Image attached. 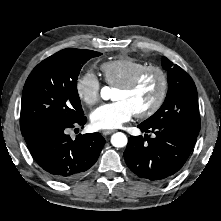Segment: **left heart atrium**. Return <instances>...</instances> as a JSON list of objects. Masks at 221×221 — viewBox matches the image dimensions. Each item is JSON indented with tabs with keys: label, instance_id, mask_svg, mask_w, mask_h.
Returning a JSON list of instances; mask_svg holds the SVG:
<instances>
[{
	"label": "left heart atrium",
	"instance_id": "1",
	"mask_svg": "<svg viewBox=\"0 0 221 221\" xmlns=\"http://www.w3.org/2000/svg\"><path fill=\"white\" fill-rule=\"evenodd\" d=\"M135 112L125 101L119 100L105 103L92 111L91 124L98 130H111L129 121Z\"/></svg>",
	"mask_w": 221,
	"mask_h": 221
}]
</instances>
